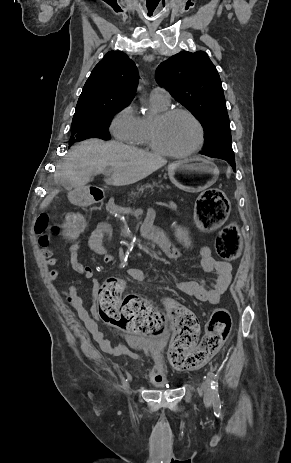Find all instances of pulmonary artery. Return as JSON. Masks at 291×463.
Instances as JSON below:
<instances>
[{
	"mask_svg": "<svg viewBox=\"0 0 291 463\" xmlns=\"http://www.w3.org/2000/svg\"><path fill=\"white\" fill-rule=\"evenodd\" d=\"M170 99V93L163 87H155L151 92V100L163 105H168L170 103Z\"/></svg>",
	"mask_w": 291,
	"mask_h": 463,
	"instance_id": "e3ab8cb5",
	"label": "pulmonary artery"
}]
</instances>
